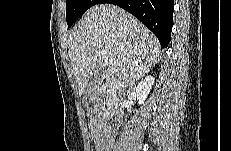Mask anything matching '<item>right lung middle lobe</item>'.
Here are the masks:
<instances>
[{
    "mask_svg": "<svg viewBox=\"0 0 231 151\" xmlns=\"http://www.w3.org/2000/svg\"><path fill=\"white\" fill-rule=\"evenodd\" d=\"M101 0H66V20L70 27L87 9Z\"/></svg>",
    "mask_w": 231,
    "mask_h": 151,
    "instance_id": "obj_1",
    "label": "right lung middle lobe"
}]
</instances>
